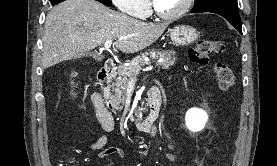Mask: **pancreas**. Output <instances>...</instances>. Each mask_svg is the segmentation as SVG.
I'll return each instance as SVG.
<instances>
[{"label": "pancreas", "instance_id": "obj_1", "mask_svg": "<svg viewBox=\"0 0 277 166\" xmlns=\"http://www.w3.org/2000/svg\"><path fill=\"white\" fill-rule=\"evenodd\" d=\"M147 56H150L153 59L158 57L163 58V61L159 64L162 69H168L170 66L174 65L175 62V51L152 50L149 53L141 54L134 58L130 66H120L117 70L118 77L111 85L112 90L114 91L111 100L117 108L122 109L125 105L127 99L126 90L129 81L131 79H136L143 65L146 63L144 59Z\"/></svg>", "mask_w": 277, "mask_h": 166}]
</instances>
